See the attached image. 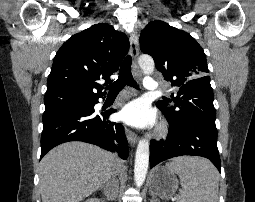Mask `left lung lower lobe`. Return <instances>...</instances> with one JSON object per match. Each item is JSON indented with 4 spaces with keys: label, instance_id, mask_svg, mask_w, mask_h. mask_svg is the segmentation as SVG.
<instances>
[{
    "label": "left lung lower lobe",
    "instance_id": "obj_1",
    "mask_svg": "<svg viewBox=\"0 0 255 202\" xmlns=\"http://www.w3.org/2000/svg\"><path fill=\"white\" fill-rule=\"evenodd\" d=\"M182 155L208 158L220 171L216 126L203 122H191L182 126L170 124L167 139L153 140L150 144V167Z\"/></svg>",
    "mask_w": 255,
    "mask_h": 202
}]
</instances>
